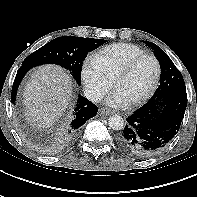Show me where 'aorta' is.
<instances>
[{
  "mask_svg": "<svg viewBox=\"0 0 197 197\" xmlns=\"http://www.w3.org/2000/svg\"><path fill=\"white\" fill-rule=\"evenodd\" d=\"M108 124L109 127L113 130H122L124 128V120L117 114L109 118Z\"/></svg>",
  "mask_w": 197,
  "mask_h": 197,
  "instance_id": "762f6f07",
  "label": "aorta"
}]
</instances>
